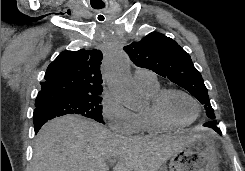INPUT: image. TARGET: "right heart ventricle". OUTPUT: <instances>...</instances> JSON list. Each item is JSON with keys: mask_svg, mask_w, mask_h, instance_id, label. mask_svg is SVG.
<instances>
[{"mask_svg": "<svg viewBox=\"0 0 245 171\" xmlns=\"http://www.w3.org/2000/svg\"><path fill=\"white\" fill-rule=\"evenodd\" d=\"M139 87L149 101H151V99L161 90L158 82L153 85ZM136 114L139 121V130L137 132L139 134H160L170 130V128L156 120L149 105Z\"/></svg>", "mask_w": 245, "mask_h": 171, "instance_id": "obj_1", "label": "right heart ventricle"}]
</instances>
